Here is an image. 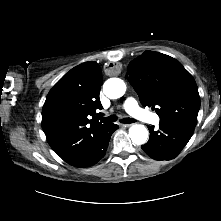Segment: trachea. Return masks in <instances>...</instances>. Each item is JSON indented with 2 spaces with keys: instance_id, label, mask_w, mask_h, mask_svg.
<instances>
[{
  "instance_id": "trachea-1",
  "label": "trachea",
  "mask_w": 221,
  "mask_h": 221,
  "mask_svg": "<svg viewBox=\"0 0 221 221\" xmlns=\"http://www.w3.org/2000/svg\"><path fill=\"white\" fill-rule=\"evenodd\" d=\"M102 120L108 121V122H115V121L117 120V116H115V115H110V116H108V117L102 118ZM121 122H122V123H125V124H130V123L136 122V120L133 119V118H124V119L121 120Z\"/></svg>"
}]
</instances>
